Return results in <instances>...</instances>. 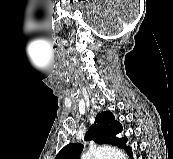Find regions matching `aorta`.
<instances>
[{
  "label": "aorta",
  "instance_id": "762f6f07",
  "mask_svg": "<svg viewBox=\"0 0 173 159\" xmlns=\"http://www.w3.org/2000/svg\"><path fill=\"white\" fill-rule=\"evenodd\" d=\"M81 159H126V156L115 148L100 147L88 150Z\"/></svg>",
  "mask_w": 173,
  "mask_h": 159
}]
</instances>
